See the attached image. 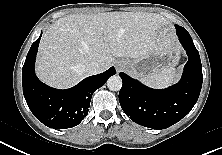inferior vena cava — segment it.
I'll return each mask as SVG.
<instances>
[{"instance_id": "obj_1", "label": "inferior vena cava", "mask_w": 222, "mask_h": 155, "mask_svg": "<svg viewBox=\"0 0 222 155\" xmlns=\"http://www.w3.org/2000/svg\"><path fill=\"white\" fill-rule=\"evenodd\" d=\"M86 72L88 73V75H95L101 72V66L98 62L93 61L90 62L87 66H86Z\"/></svg>"}]
</instances>
